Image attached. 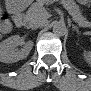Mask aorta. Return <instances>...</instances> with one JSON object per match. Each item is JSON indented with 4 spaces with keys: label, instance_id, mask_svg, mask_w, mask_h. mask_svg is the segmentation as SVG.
<instances>
[{
    "label": "aorta",
    "instance_id": "aorta-1",
    "mask_svg": "<svg viewBox=\"0 0 91 91\" xmlns=\"http://www.w3.org/2000/svg\"><path fill=\"white\" fill-rule=\"evenodd\" d=\"M53 32L54 34L58 35V36H63L66 34L67 32V28L65 23L63 22H55L53 24Z\"/></svg>",
    "mask_w": 91,
    "mask_h": 91
}]
</instances>
